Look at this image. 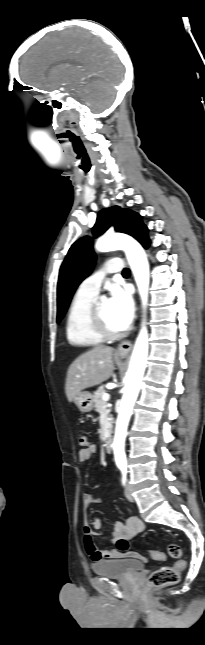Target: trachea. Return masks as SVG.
I'll return each instance as SVG.
<instances>
[{"instance_id": "obj_1", "label": "trachea", "mask_w": 205, "mask_h": 645, "mask_svg": "<svg viewBox=\"0 0 205 645\" xmlns=\"http://www.w3.org/2000/svg\"><path fill=\"white\" fill-rule=\"evenodd\" d=\"M122 274H123V275H129V274H130V270H129L128 268H124V270H123Z\"/></svg>"}]
</instances>
